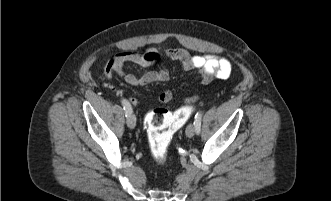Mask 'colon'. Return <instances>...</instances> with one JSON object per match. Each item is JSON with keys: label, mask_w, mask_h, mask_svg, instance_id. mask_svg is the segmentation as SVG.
<instances>
[{"label": "colon", "mask_w": 331, "mask_h": 201, "mask_svg": "<svg viewBox=\"0 0 331 201\" xmlns=\"http://www.w3.org/2000/svg\"><path fill=\"white\" fill-rule=\"evenodd\" d=\"M196 99V96L190 97L186 104L174 113L164 108H156L146 115L145 126L150 151L156 161L166 160L173 134L191 116Z\"/></svg>", "instance_id": "colon-1"}]
</instances>
